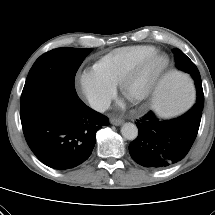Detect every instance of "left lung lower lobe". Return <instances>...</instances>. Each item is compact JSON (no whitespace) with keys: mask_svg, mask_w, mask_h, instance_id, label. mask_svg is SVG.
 I'll return each instance as SVG.
<instances>
[{"mask_svg":"<svg viewBox=\"0 0 215 215\" xmlns=\"http://www.w3.org/2000/svg\"><path fill=\"white\" fill-rule=\"evenodd\" d=\"M203 105V89H200L196 104L178 118L161 120L150 111L138 119V137L129 145L133 160L151 169L165 168L182 160L197 136Z\"/></svg>","mask_w":215,"mask_h":215,"instance_id":"left-lung-lower-lobe-1","label":"left lung lower lobe"}]
</instances>
